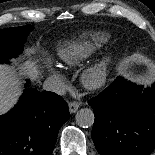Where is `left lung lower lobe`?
Here are the masks:
<instances>
[{
	"label": "left lung lower lobe",
	"instance_id": "1",
	"mask_svg": "<svg viewBox=\"0 0 155 155\" xmlns=\"http://www.w3.org/2000/svg\"><path fill=\"white\" fill-rule=\"evenodd\" d=\"M92 139L101 155H149L155 148V84L143 88L118 77L89 101Z\"/></svg>",
	"mask_w": 155,
	"mask_h": 155
}]
</instances>
